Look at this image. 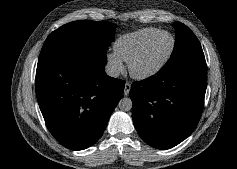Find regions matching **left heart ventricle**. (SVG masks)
<instances>
[{"label": "left heart ventricle", "mask_w": 237, "mask_h": 169, "mask_svg": "<svg viewBox=\"0 0 237 169\" xmlns=\"http://www.w3.org/2000/svg\"><path fill=\"white\" fill-rule=\"evenodd\" d=\"M171 38L168 34L158 36L137 62L136 69L143 71L158 64L169 52Z\"/></svg>", "instance_id": "1"}]
</instances>
